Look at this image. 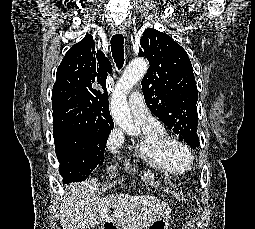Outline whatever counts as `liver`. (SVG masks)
<instances>
[{"label": "liver", "instance_id": "liver-1", "mask_svg": "<svg viewBox=\"0 0 255 229\" xmlns=\"http://www.w3.org/2000/svg\"><path fill=\"white\" fill-rule=\"evenodd\" d=\"M97 179L66 186L60 224L63 229H91L105 222L123 229H143L157 217L170 212L169 205L152 195L111 194L96 197ZM110 208L114 211L109 215Z\"/></svg>", "mask_w": 255, "mask_h": 229}]
</instances>
